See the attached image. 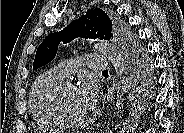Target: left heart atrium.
Here are the masks:
<instances>
[{
	"instance_id": "left-heart-atrium-1",
	"label": "left heart atrium",
	"mask_w": 184,
	"mask_h": 133,
	"mask_svg": "<svg viewBox=\"0 0 184 133\" xmlns=\"http://www.w3.org/2000/svg\"><path fill=\"white\" fill-rule=\"evenodd\" d=\"M76 89L81 103L87 110L95 106L98 93L96 85L93 82L85 80Z\"/></svg>"
}]
</instances>
